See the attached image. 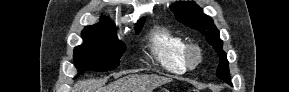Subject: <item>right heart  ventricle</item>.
I'll return each mask as SVG.
<instances>
[{"mask_svg": "<svg viewBox=\"0 0 289 92\" xmlns=\"http://www.w3.org/2000/svg\"><path fill=\"white\" fill-rule=\"evenodd\" d=\"M149 43L152 56L165 70L173 74L186 71L184 51L187 43L181 35L157 28L152 31Z\"/></svg>", "mask_w": 289, "mask_h": 92, "instance_id": "right-heart-ventricle-1", "label": "right heart ventricle"}]
</instances>
